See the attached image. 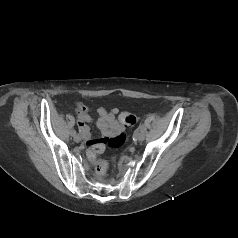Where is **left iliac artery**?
I'll list each match as a JSON object with an SVG mask.
<instances>
[{
  "mask_svg": "<svg viewBox=\"0 0 238 238\" xmlns=\"http://www.w3.org/2000/svg\"><path fill=\"white\" fill-rule=\"evenodd\" d=\"M140 127H141V132H142V134H147V132L149 131V128L147 127V126H145V124L144 123H141L140 124Z\"/></svg>",
  "mask_w": 238,
  "mask_h": 238,
  "instance_id": "left-iliac-artery-1",
  "label": "left iliac artery"
}]
</instances>
